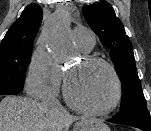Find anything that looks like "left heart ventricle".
Here are the masks:
<instances>
[{
  "instance_id": "obj_1",
  "label": "left heart ventricle",
  "mask_w": 151,
  "mask_h": 131,
  "mask_svg": "<svg viewBox=\"0 0 151 131\" xmlns=\"http://www.w3.org/2000/svg\"><path fill=\"white\" fill-rule=\"evenodd\" d=\"M68 83L72 96L90 108L105 107L114 95L112 76L100 64L86 65L81 60L69 70Z\"/></svg>"
}]
</instances>
